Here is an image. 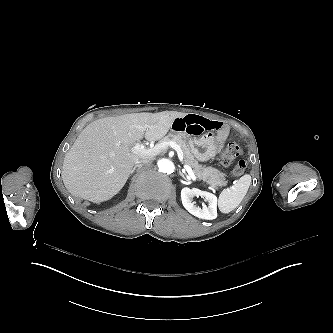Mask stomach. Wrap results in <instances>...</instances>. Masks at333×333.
<instances>
[{
  "label": "stomach",
  "instance_id": "0dacf381",
  "mask_svg": "<svg viewBox=\"0 0 333 333\" xmlns=\"http://www.w3.org/2000/svg\"><path fill=\"white\" fill-rule=\"evenodd\" d=\"M171 127H173L171 125ZM191 153L200 162L214 158L221 150V143L215 139L213 131H207L200 136L192 137Z\"/></svg>",
  "mask_w": 333,
  "mask_h": 333
}]
</instances>
